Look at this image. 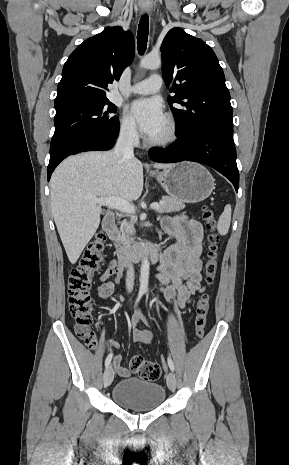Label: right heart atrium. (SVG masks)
<instances>
[{
  "instance_id": "obj_1",
  "label": "right heart atrium",
  "mask_w": 289,
  "mask_h": 465,
  "mask_svg": "<svg viewBox=\"0 0 289 465\" xmlns=\"http://www.w3.org/2000/svg\"><path fill=\"white\" fill-rule=\"evenodd\" d=\"M119 134L123 140L130 143H134L138 140L139 134L136 124L128 114H123L120 120Z\"/></svg>"
}]
</instances>
